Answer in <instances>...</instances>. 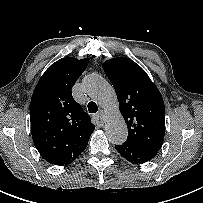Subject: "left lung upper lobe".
Wrapping results in <instances>:
<instances>
[{
	"instance_id": "1",
	"label": "left lung upper lobe",
	"mask_w": 203,
	"mask_h": 203,
	"mask_svg": "<svg viewBox=\"0 0 203 203\" xmlns=\"http://www.w3.org/2000/svg\"><path fill=\"white\" fill-rule=\"evenodd\" d=\"M103 68L114 86L128 127L126 142L157 154L165 134V106L159 90L129 58L107 60Z\"/></svg>"
}]
</instances>
